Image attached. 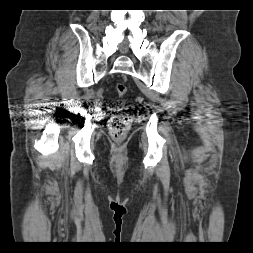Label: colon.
Returning <instances> with one entry per match:
<instances>
[{
  "label": "colon",
  "instance_id": "obj_1",
  "mask_svg": "<svg viewBox=\"0 0 253 253\" xmlns=\"http://www.w3.org/2000/svg\"><path fill=\"white\" fill-rule=\"evenodd\" d=\"M116 93L122 97L127 93V87L124 83L118 82L115 86ZM133 122V115L127 110L122 109L119 113L111 117L109 130L111 137L116 141H121L127 135Z\"/></svg>",
  "mask_w": 253,
  "mask_h": 253
}]
</instances>
